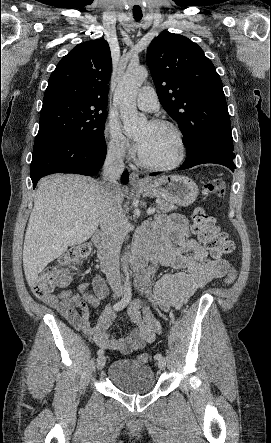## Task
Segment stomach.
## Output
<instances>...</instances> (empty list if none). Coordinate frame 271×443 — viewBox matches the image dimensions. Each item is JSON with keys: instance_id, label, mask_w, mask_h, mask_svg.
<instances>
[{"instance_id": "stomach-1", "label": "stomach", "mask_w": 271, "mask_h": 443, "mask_svg": "<svg viewBox=\"0 0 271 443\" xmlns=\"http://www.w3.org/2000/svg\"><path fill=\"white\" fill-rule=\"evenodd\" d=\"M138 190L147 198H164L177 206H191L198 196V186L186 176H162L152 182H142Z\"/></svg>"}]
</instances>
